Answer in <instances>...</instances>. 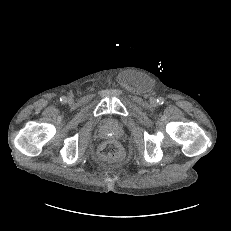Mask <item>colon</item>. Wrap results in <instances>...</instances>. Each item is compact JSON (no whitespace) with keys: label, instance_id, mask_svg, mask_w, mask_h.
I'll use <instances>...</instances> for the list:
<instances>
[{"label":"colon","instance_id":"obj_1","mask_svg":"<svg viewBox=\"0 0 231 231\" xmlns=\"http://www.w3.org/2000/svg\"><path fill=\"white\" fill-rule=\"evenodd\" d=\"M100 157L105 161H115L119 157V149L115 142L105 141L99 148Z\"/></svg>","mask_w":231,"mask_h":231}]
</instances>
